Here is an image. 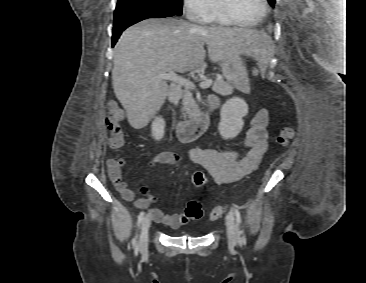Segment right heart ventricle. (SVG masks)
<instances>
[{"label":"right heart ventricle","mask_w":366,"mask_h":283,"mask_svg":"<svg viewBox=\"0 0 366 283\" xmlns=\"http://www.w3.org/2000/svg\"><path fill=\"white\" fill-rule=\"evenodd\" d=\"M203 22L210 23V24H216L219 26H232L233 23L225 19L217 10L215 5V0H211L210 2V8L207 12L206 16L203 18Z\"/></svg>","instance_id":"1"}]
</instances>
